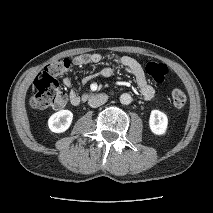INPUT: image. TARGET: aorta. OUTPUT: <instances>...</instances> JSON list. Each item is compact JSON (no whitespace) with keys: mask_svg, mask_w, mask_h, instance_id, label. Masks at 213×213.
Listing matches in <instances>:
<instances>
[{"mask_svg":"<svg viewBox=\"0 0 213 213\" xmlns=\"http://www.w3.org/2000/svg\"><path fill=\"white\" fill-rule=\"evenodd\" d=\"M120 102L124 105H128L132 102V97L130 94L128 93H123L121 96H120Z\"/></svg>","mask_w":213,"mask_h":213,"instance_id":"aorta-1","label":"aorta"}]
</instances>
